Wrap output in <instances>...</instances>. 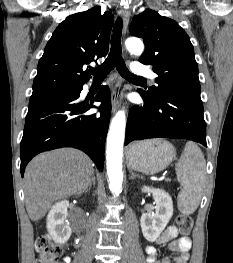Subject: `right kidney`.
<instances>
[{"label": "right kidney", "instance_id": "ca27d5eb", "mask_svg": "<svg viewBox=\"0 0 233 263\" xmlns=\"http://www.w3.org/2000/svg\"><path fill=\"white\" fill-rule=\"evenodd\" d=\"M69 201L63 200L56 203L48 213L47 229L50 236L56 243L63 244L67 242L71 236V228L66 221L68 216L67 208Z\"/></svg>", "mask_w": 233, "mask_h": 263}]
</instances>
